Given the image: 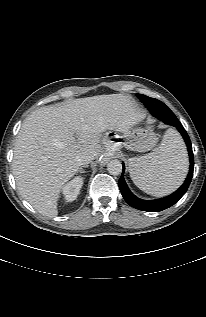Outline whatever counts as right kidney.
I'll list each match as a JSON object with an SVG mask.
<instances>
[{
    "label": "right kidney",
    "instance_id": "obj_1",
    "mask_svg": "<svg viewBox=\"0 0 206 317\" xmlns=\"http://www.w3.org/2000/svg\"><path fill=\"white\" fill-rule=\"evenodd\" d=\"M82 185L83 178L81 177H75L73 180L68 182L62 190L65 200L67 202L74 201L79 195Z\"/></svg>",
    "mask_w": 206,
    "mask_h": 317
}]
</instances>
